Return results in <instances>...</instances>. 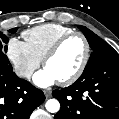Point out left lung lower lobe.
I'll return each instance as SVG.
<instances>
[{
  "label": "left lung lower lobe",
  "mask_w": 119,
  "mask_h": 119,
  "mask_svg": "<svg viewBox=\"0 0 119 119\" xmlns=\"http://www.w3.org/2000/svg\"><path fill=\"white\" fill-rule=\"evenodd\" d=\"M52 95L61 104L55 119H119V54L92 65Z\"/></svg>",
  "instance_id": "0a47b994"
}]
</instances>
